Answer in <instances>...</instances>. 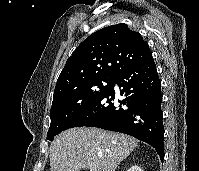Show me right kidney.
<instances>
[{"label":"right kidney","instance_id":"obj_1","mask_svg":"<svg viewBox=\"0 0 199 171\" xmlns=\"http://www.w3.org/2000/svg\"><path fill=\"white\" fill-rule=\"evenodd\" d=\"M127 171H143V169L139 166L134 165L130 167Z\"/></svg>","mask_w":199,"mask_h":171}]
</instances>
